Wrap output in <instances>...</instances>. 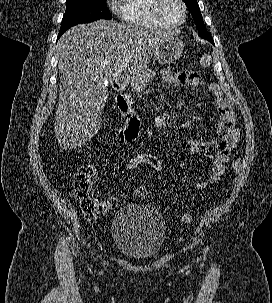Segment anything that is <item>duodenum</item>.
<instances>
[{
    "label": "duodenum",
    "instance_id": "obj_1",
    "mask_svg": "<svg viewBox=\"0 0 272 303\" xmlns=\"http://www.w3.org/2000/svg\"><path fill=\"white\" fill-rule=\"evenodd\" d=\"M114 89L116 90V103L120 112L125 116V125L118 128L115 131L117 139L122 142H126L130 137L137 132L140 121L138 117L132 112L130 105L123 93L125 89V80L123 78H118L114 82Z\"/></svg>",
    "mask_w": 272,
    "mask_h": 303
}]
</instances>
